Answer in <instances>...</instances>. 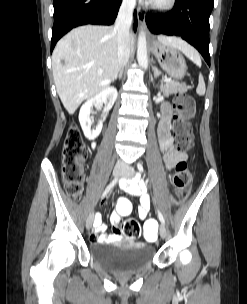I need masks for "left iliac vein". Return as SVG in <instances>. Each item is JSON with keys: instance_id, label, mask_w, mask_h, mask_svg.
<instances>
[{"instance_id": "obj_1", "label": "left iliac vein", "mask_w": 247, "mask_h": 304, "mask_svg": "<svg viewBox=\"0 0 247 304\" xmlns=\"http://www.w3.org/2000/svg\"><path fill=\"white\" fill-rule=\"evenodd\" d=\"M134 174H135L134 169L129 165H127L121 173L124 179H131L134 176ZM159 233L162 238H165L167 235V230L163 224H161L160 226Z\"/></svg>"}]
</instances>
